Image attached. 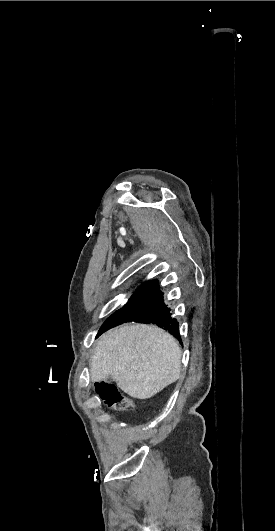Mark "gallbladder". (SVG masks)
Listing matches in <instances>:
<instances>
[{"mask_svg": "<svg viewBox=\"0 0 275 531\" xmlns=\"http://www.w3.org/2000/svg\"><path fill=\"white\" fill-rule=\"evenodd\" d=\"M107 383H113V379H111V377H108V379H106Z\"/></svg>", "mask_w": 275, "mask_h": 531, "instance_id": "1", "label": "gallbladder"}]
</instances>
